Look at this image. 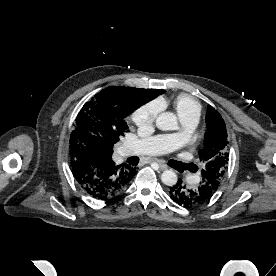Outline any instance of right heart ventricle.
I'll list each match as a JSON object with an SVG mask.
<instances>
[{"instance_id": "e07e8e85", "label": "right heart ventricle", "mask_w": 276, "mask_h": 276, "mask_svg": "<svg viewBox=\"0 0 276 276\" xmlns=\"http://www.w3.org/2000/svg\"><path fill=\"white\" fill-rule=\"evenodd\" d=\"M172 104L180 119L188 117L198 118L200 115V104L186 95L176 97Z\"/></svg>"}]
</instances>
